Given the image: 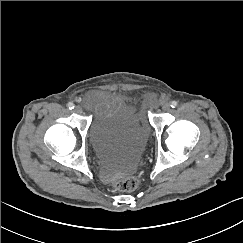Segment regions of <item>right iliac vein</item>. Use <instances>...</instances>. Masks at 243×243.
Returning a JSON list of instances; mask_svg holds the SVG:
<instances>
[{"label": "right iliac vein", "mask_w": 243, "mask_h": 243, "mask_svg": "<svg viewBox=\"0 0 243 243\" xmlns=\"http://www.w3.org/2000/svg\"><path fill=\"white\" fill-rule=\"evenodd\" d=\"M74 112H76L77 114H82L83 109L81 106H75Z\"/></svg>", "instance_id": "1"}]
</instances>
